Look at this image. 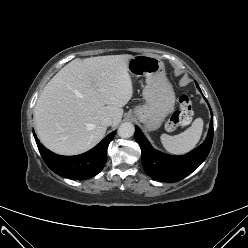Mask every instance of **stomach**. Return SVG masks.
<instances>
[{"instance_id": "stomach-1", "label": "stomach", "mask_w": 248, "mask_h": 248, "mask_svg": "<svg viewBox=\"0 0 248 248\" xmlns=\"http://www.w3.org/2000/svg\"><path fill=\"white\" fill-rule=\"evenodd\" d=\"M128 71L132 76L146 77L145 104L137 106L133 115L147 130H156L175 105V93L166 77L164 64L154 55H136L128 61Z\"/></svg>"}]
</instances>
